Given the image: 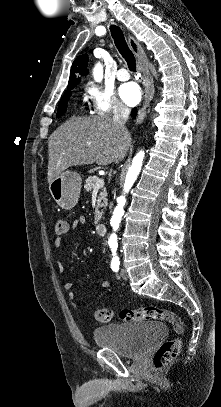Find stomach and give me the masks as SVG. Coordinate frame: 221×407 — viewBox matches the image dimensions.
I'll return each instance as SVG.
<instances>
[{"label": "stomach", "instance_id": "1", "mask_svg": "<svg viewBox=\"0 0 221 407\" xmlns=\"http://www.w3.org/2000/svg\"><path fill=\"white\" fill-rule=\"evenodd\" d=\"M81 186L80 174L74 171H64L49 184V191L62 209L71 210L78 203Z\"/></svg>", "mask_w": 221, "mask_h": 407}]
</instances>
